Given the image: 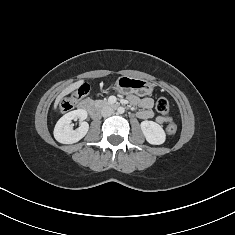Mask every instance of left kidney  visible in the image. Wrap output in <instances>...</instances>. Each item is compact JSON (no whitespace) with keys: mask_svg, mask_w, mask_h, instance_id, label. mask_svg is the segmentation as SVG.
Returning a JSON list of instances; mask_svg holds the SVG:
<instances>
[{"mask_svg":"<svg viewBox=\"0 0 235 235\" xmlns=\"http://www.w3.org/2000/svg\"><path fill=\"white\" fill-rule=\"evenodd\" d=\"M141 130L148 143L152 145H161L166 140V134L162 126L153 121H143L140 124Z\"/></svg>","mask_w":235,"mask_h":235,"instance_id":"5707ae66","label":"left kidney"}]
</instances>
